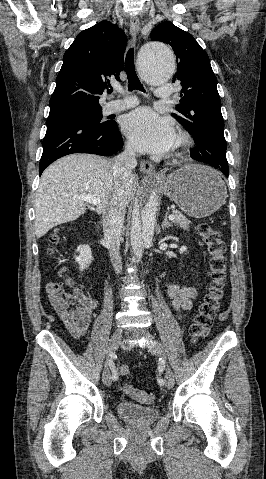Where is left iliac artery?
Wrapping results in <instances>:
<instances>
[{
    "label": "left iliac artery",
    "mask_w": 266,
    "mask_h": 479,
    "mask_svg": "<svg viewBox=\"0 0 266 479\" xmlns=\"http://www.w3.org/2000/svg\"><path fill=\"white\" fill-rule=\"evenodd\" d=\"M157 365H158L157 370H158L159 372H162V371L166 368V365H165L164 360L158 362ZM158 383H159V385H163V384H164L163 379H162V378H158Z\"/></svg>",
    "instance_id": "left-iliac-artery-1"
}]
</instances>
